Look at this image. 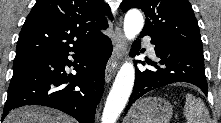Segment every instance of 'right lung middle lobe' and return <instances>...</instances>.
<instances>
[{
  "instance_id": "obj_1",
  "label": "right lung middle lobe",
  "mask_w": 221,
  "mask_h": 123,
  "mask_svg": "<svg viewBox=\"0 0 221 123\" xmlns=\"http://www.w3.org/2000/svg\"><path fill=\"white\" fill-rule=\"evenodd\" d=\"M30 57H33V56H27V57H18V56H16L15 59H14V62L20 61V60H23V59H27V58H30Z\"/></svg>"
}]
</instances>
